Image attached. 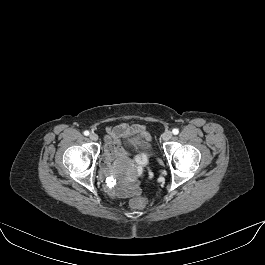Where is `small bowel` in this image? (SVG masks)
<instances>
[{
    "label": "small bowel",
    "instance_id": "small-bowel-1",
    "mask_svg": "<svg viewBox=\"0 0 265 265\" xmlns=\"http://www.w3.org/2000/svg\"><path fill=\"white\" fill-rule=\"evenodd\" d=\"M130 133L146 134L145 130L141 126L130 127L125 123L116 125L115 127L107 129V145L104 154L101 159V165L104 169H108L112 160L118 156H123L125 151L120 147L121 139ZM146 160L144 154H141L138 159L140 164H143ZM113 196L116 197H128L134 196L140 193V185L138 180H132L127 185L120 189L109 188Z\"/></svg>",
    "mask_w": 265,
    "mask_h": 265
}]
</instances>
